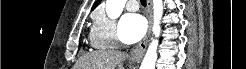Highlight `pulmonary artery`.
I'll list each match as a JSON object with an SVG mask.
<instances>
[{
	"label": "pulmonary artery",
	"mask_w": 246,
	"mask_h": 69,
	"mask_svg": "<svg viewBox=\"0 0 246 69\" xmlns=\"http://www.w3.org/2000/svg\"><path fill=\"white\" fill-rule=\"evenodd\" d=\"M126 8L129 10V11H136L138 9V4L136 1H127L126 3Z\"/></svg>",
	"instance_id": "obj_1"
}]
</instances>
